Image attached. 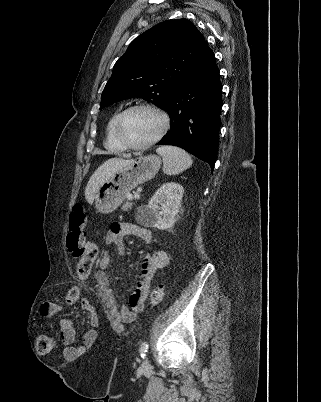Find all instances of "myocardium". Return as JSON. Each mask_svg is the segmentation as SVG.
<instances>
[{"label":"myocardium","instance_id":"f54148a6","mask_svg":"<svg viewBox=\"0 0 321 402\" xmlns=\"http://www.w3.org/2000/svg\"><path fill=\"white\" fill-rule=\"evenodd\" d=\"M140 109L149 110V111L156 113L161 118L162 126H161L159 133L151 140H149L143 144H133V143H130L122 134V123H123L125 116L129 112L134 111V110H140ZM169 127H170V119H169V116L167 115V113L163 109H161L155 105H152V104L139 103V104H134V105L128 106L127 108H125L118 114V116L116 118V122H115V134H116L118 141L121 143V145L125 149L141 151V150L148 149V148L152 147L153 145H155L157 142H159L163 138V136L167 133Z\"/></svg>","mask_w":321,"mask_h":402}]
</instances>
